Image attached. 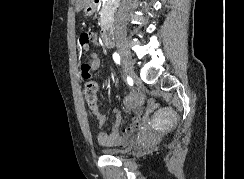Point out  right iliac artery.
Masks as SVG:
<instances>
[{"instance_id": "right-iliac-artery-1", "label": "right iliac artery", "mask_w": 244, "mask_h": 179, "mask_svg": "<svg viewBox=\"0 0 244 179\" xmlns=\"http://www.w3.org/2000/svg\"><path fill=\"white\" fill-rule=\"evenodd\" d=\"M113 59H114V61L117 63V64H120V56H119V54L118 53H114L113 54Z\"/></svg>"}]
</instances>
